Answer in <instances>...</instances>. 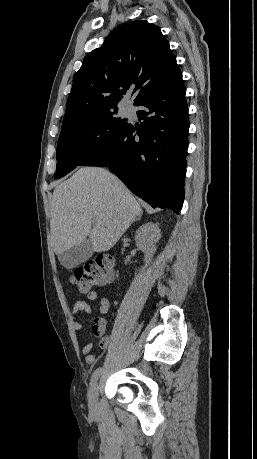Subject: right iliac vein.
Here are the masks:
<instances>
[{
  "mask_svg": "<svg viewBox=\"0 0 257 459\" xmlns=\"http://www.w3.org/2000/svg\"><path fill=\"white\" fill-rule=\"evenodd\" d=\"M98 403V384L94 383L88 392V404L91 410L96 409Z\"/></svg>",
  "mask_w": 257,
  "mask_h": 459,
  "instance_id": "1",
  "label": "right iliac vein"
}]
</instances>
